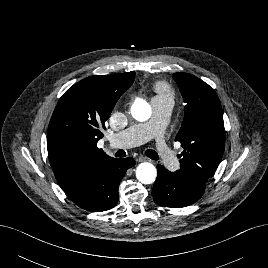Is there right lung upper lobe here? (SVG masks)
I'll return each instance as SVG.
<instances>
[{"label": "right lung upper lobe", "instance_id": "right-lung-upper-lobe-1", "mask_svg": "<svg viewBox=\"0 0 268 268\" xmlns=\"http://www.w3.org/2000/svg\"><path fill=\"white\" fill-rule=\"evenodd\" d=\"M135 72L90 76L60 98L47 133L48 157L58 184L70 199H81L95 175L111 160L97 147L105 123Z\"/></svg>", "mask_w": 268, "mask_h": 268}]
</instances>
